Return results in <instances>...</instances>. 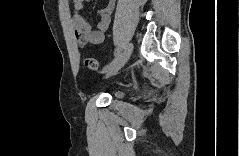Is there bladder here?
<instances>
[{
    "label": "bladder",
    "mask_w": 239,
    "mask_h": 156,
    "mask_svg": "<svg viewBox=\"0 0 239 156\" xmlns=\"http://www.w3.org/2000/svg\"><path fill=\"white\" fill-rule=\"evenodd\" d=\"M114 97L116 99H121V98H123V93L122 92H117V93L114 94Z\"/></svg>",
    "instance_id": "obj_1"
}]
</instances>
